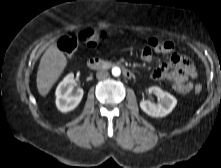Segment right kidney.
Wrapping results in <instances>:
<instances>
[{"label": "right kidney", "instance_id": "right-kidney-1", "mask_svg": "<svg viewBox=\"0 0 221 168\" xmlns=\"http://www.w3.org/2000/svg\"><path fill=\"white\" fill-rule=\"evenodd\" d=\"M74 74H68L56 89V106L63 113L75 109L82 100L83 90L81 88L73 92Z\"/></svg>", "mask_w": 221, "mask_h": 168}]
</instances>
